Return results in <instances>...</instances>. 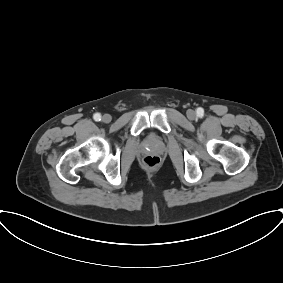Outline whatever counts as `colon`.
I'll use <instances>...</instances> for the list:
<instances>
[{
    "mask_svg": "<svg viewBox=\"0 0 283 283\" xmlns=\"http://www.w3.org/2000/svg\"><path fill=\"white\" fill-rule=\"evenodd\" d=\"M144 164L149 168H154L159 165L160 159L155 155H147L144 160Z\"/></svg>",
    "mask_w": 283,
    "mask_h": 283,
    "instance_id": "colon-1",
    "label": "colon"
}]
</instances>
